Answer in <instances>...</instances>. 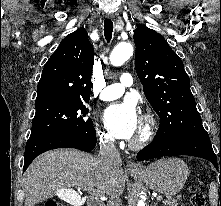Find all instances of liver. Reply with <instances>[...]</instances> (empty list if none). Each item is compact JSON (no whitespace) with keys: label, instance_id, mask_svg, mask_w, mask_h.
<instances>
[{"label":"liver","instance_id":"obj_1","mask_svg":"<svg viewBox=\"0 0 221 206\" xmlns=\"http://www.w3.org/2000/svg\"><path fill=\"white\" fill-rule=\"evenodd\" d=\"M125 179L121 162L109 163L75 149L48 151L37 157L24 175L25 206H34L73 187L97 188L110 197H119Z\"/></svg>","mask_w":221,"mask_h":206}]
</instances>
